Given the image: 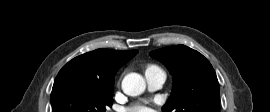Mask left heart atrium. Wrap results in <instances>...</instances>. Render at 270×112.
<instances>
[{
    "mask_svg": "<svg viewBox=\"0 0 270 112\" xmlns=\"http://www.w3.org/2000/svg\"><path fill=\"white\" fill-rule=\"evenodd\" d=\"M128 112H150V109L145 105H135L129 108Z\"/></svg>",
    "mask_w": 270,
    "mask_h": 112,
    "instance_id": "obj_1",
    "label": "left heart atrium"
}]
</instances>
